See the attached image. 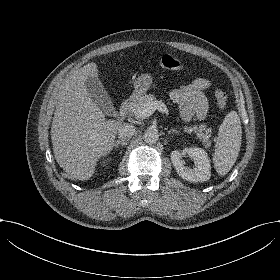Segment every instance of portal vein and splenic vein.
I'll return each instance as SVG.
<instances>
[{"mask_svg":"<svg viewBox=\"0 0 280 280\" xmlns=\"http://www.w3.org/2000/svg\"><path fill=\"white\" fill-rule=\"evenodd\" d=\"M156 110L162 113H168L166 105L161 101H152L147 103L142 110L139 111L138 118L148 117L152 115Z\"/></svg>","mask_w":280,"mask_h":280,"instance_id":"1","label":"portal vein and splenic vein"}]
</instances>
